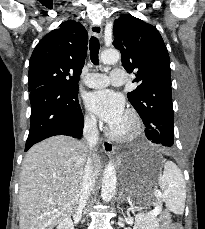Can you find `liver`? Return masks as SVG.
Instances as JSON below:
<instances>
[{"mask_svg": "<svg viewBox=\"0 0 205 229\" xmlns=\"http://www.w3.org/2000/svg\"><path fill=\"white\" fill-rule=\"evenodd\" d=\"M88 156V146L68 136H54L29 149L20 175V229H53L77 211ZM91 156L97 179L101 160L95 152Z\"/></svg>", "mask_w": 205, "mask_h": 229, "instance_id": "obj_1", "label": "liver"}]
</instances>
